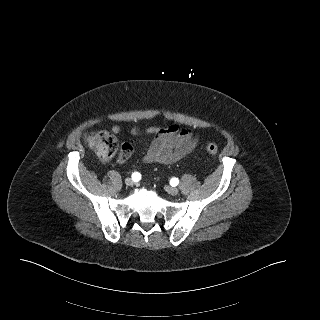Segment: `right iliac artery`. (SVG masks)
Masks as SVG:
<instances>
[{"label": "right iliac artery", "mask_w": 320, "mask_h": 320, "mask_svg": "<svg viewBox=\"0 0 320 320\" xmlns=\"http://www.w3.org/2000/svg\"><path fill=\"white\" fill-rule=\"evenodd\" d=\"M132 179H133L134 181L140 180V174H139L138 172L133 173V174H132Z\"/></svg>", "instance_id": "1"}]
</instances>
